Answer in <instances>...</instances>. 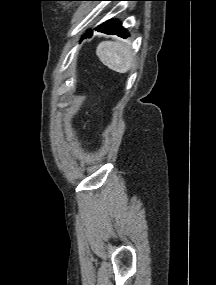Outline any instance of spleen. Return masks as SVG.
<instances>
[{
    "instance_id": "obj_1",
    "label": "spleen",
    "mask_w": 216,
    "mask_h": 285,
    "mask_svg": "<svg viewBox=\"0 0 216 285\" xmlns=\"http://www.w3.org/2000/svg\"><path fill=\"white\" fill-rule=\"evenodd\" d=\"M96 53L105 66L118 73H126L134 62L130 45L120 41H103Z\"/></svg>"
}]
</instances>
